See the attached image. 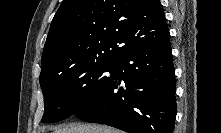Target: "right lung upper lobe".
Segmentation results:
<instances>
[{"mask_svg":"<svg viewBox=\"0 0 221 133\" xmlns=\"http://www.w3.org/2000/svg\"><path fill=\"white\" fill-rule=\"evenodd\" d=\"M169 36L159 0H63L41 58V75L78 63H110Z\"/></svg>","mask_w":221,"mask_h":133,"instance_id":"obj_1","label":"right lung upper lobe"}]
</instances>
